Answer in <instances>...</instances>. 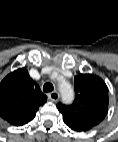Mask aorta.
<instances>
[{
    "mask_svg": "<svg viewBox=\"0 0 118 142\" xmlns=\"http://www.w3.org/2000/svg\"><path fill=\"white\" fill-rule=\"evenodd\" d=\"M58 86L63 102L71 103L74 99V90L72 85L67 80L61 79L58 82Z\"/></svg>",
    "mask_w": 118,
    "mask_h": 142,
    "instance_id": "762f6f07",
    "label": "aorta"
}]
</instances>
